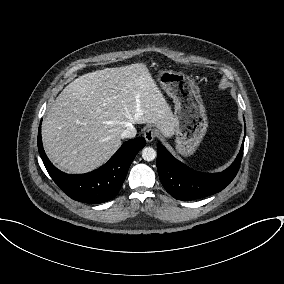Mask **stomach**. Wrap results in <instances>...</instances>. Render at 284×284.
I'll use <instances>...</instances> for the list:
<instances>
[{
	"label": "stomach",
	"instance_id": "0dacf381",
	"mask_svg": "<svg viewBox=\"0 0 284 284\" xmlns=\"http://www.w3.org/2000/svg\"><path fill=\"white\" fill-rule=\"evenodd\" d=\"M158 81L174 102L176 150L183 156H189L201 143L208 127L199 88L189 76L171 70L161 71Z\"/></svg>",
	"mask_w": 284,
	"mask_h": 284
}]
</instances>
